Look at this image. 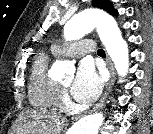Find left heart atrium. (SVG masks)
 I'll return each mask as SVG.
<instances>
[{
  "mask_svg": "<svg viewBox=\"0 0 153 134\" xmlns=\"http://www.w3.org/2000/svg\"><path fill=\"white\" fill-rule=\"evenodd\" d=\"M103 87L102 76L89 63H81L72 83L71 92L82 103L94 101Z\"/></svg>",
  "mask_w": 153,
  "mask_h": 134,
  "instance_id": "left-heart-atrium-1",
  "label": "left heart atrium"
}]
</instances>
